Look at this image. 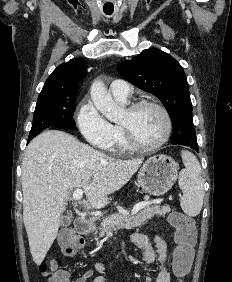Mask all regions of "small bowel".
I'll return each instance as SVG.
<instances>
[{
	"mask_svg": "<svg viewBox=\"0 0 232 282\" xmlns=\"http://www.w3.org/2000/svg\"><path fill=\"white\" fill-rule=\"evenodd\" d=\"M130 240L142 252L144 262L147 265L158 261L161 269L156 276L154 282H171V276L167 269L168 251L166 242L159 236L153 238L154 246L151 239L142 233H133ZM107 269V264L104 262H97L93 269L86 270L78 275L74 280L69 279V275L65 270H59L58 274L63 277V281H55L54 278H49L48 282H107V277L104 271ZM146 282H153L150 277L146 278Z\"/></svg>",
	"mask_w": 232,
	"mask_h": 282,
	"instance_id": "c3829d8e",
	"label": "small bowel"
}]
</instances>
